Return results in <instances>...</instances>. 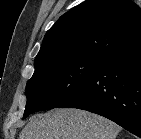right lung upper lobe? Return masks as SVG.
<instances>
[{
	"mask_svg": "<svg viewBox=\"0 0 141 139\" xmlns=\"http://www.w3.org/2000/svg\"><path fill=\"white\" fill-rule=\"evenodd\" d=\"M141 45V8L130 0H87L46 33L35 68L83 57L107 60Z\"/></svg>",
	"mask_w": 141,
	"mask_h": 139,
	"instance_id": "cb5924a9",
	"label": "right lung upper lobe"
}]
</instances>
